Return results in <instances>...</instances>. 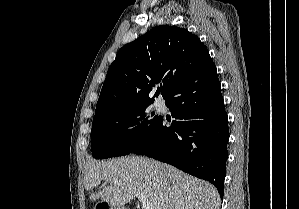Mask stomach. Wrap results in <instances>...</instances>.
Listing matches in <instances>:
<instances>
[{"mask_svg":"<svg viewBox=\"0 0 299 209\" xmlns=\"http://www.w3.org/2000/svg\"><path fill=\"white\" fill-rule=\"evenodd\" d=\"M102 206H104V207H102ZM102 208H104V209H122L121 207L112 206L109 203L104 202V201L97 203L94 207V209H102Z\"/></svg>","mask_w":299,"mask_h":209,"instance_id":"0dacf381","label":"stomach"}]
</instances>
